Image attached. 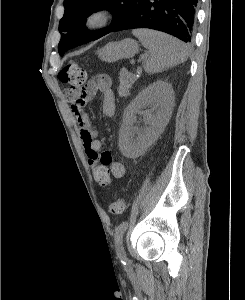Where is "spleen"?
<instances>
[{
	"instance_id": "1",
	"label": "spleen",
	"mask_w": 245,
	"mask_h": 300,
	"mask_svg": "<svg viewBox=\"0 0 245 300\" xmlns=\"http://www.w3.org/2000/svg\"><path fill=\"white\" fill-rule=\"evenodd\" d=\"M132 33L150 52L144 64V69L149 74L158 73L182 63L188 57L185 45L165 33L149 29H137Z\"/></svg>"
}]
</instances>
